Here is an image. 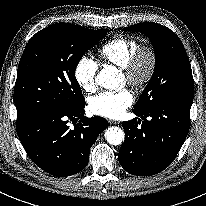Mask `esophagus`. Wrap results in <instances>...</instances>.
Segmentation results:
<instances>
[{
    "label": "esophagus",
    "instance_id": "34e87169",
    "mask_svg": "<svg viewBox=\"0 0 206 206\" xmlns=\"http://www.w3.org/2000/svg\"><path fill=\"white\" fill-rule=\"evenodd\" d=\"M109 123H110V124H115V125H116V124H119L120 122H119V121H114V120H109Z\"/></svg>",
    "mask_w": 206,
    "mask_h": 206
}]
</instances>
